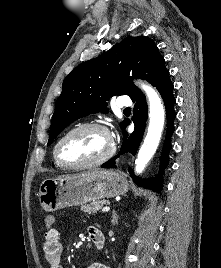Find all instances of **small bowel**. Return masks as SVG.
Wrapping results in <instances>:
<instances>
[{"instance_id": "small-bowel-1", "label": "small bowel", "mask_w": 221, "mask_h": 268, "mask_svg": "<svg viewBox=\"0 0 221 268\" xmlns=\"http://www.w3.org/2000/svg\"><path fill=\"white\" fill-rule=\"evenodd\" d=\"M95 227H89V236L96 230ZM62 243L60 240V233L55 228L48 229L44 234V242L42 245L43 256L48 262L49 268H62L61 256H62ZM87 268H110L101 263H92Z\"/></svg>"}]
</instances>
